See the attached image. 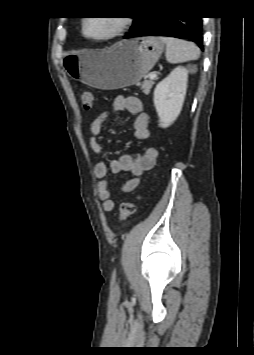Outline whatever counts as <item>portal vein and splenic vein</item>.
I'll return each instance as SVG.
<instances>
[{
  "instance_id": "18ae733b",
  "label": "portal vein and splenic vein",
  "mask_w": 254,
  "mask_h": 355,
  "mask_svg": "<svg viewBox=\"0 0 254 355\" xmlns=\"http://www.w3.org/2000/svg\"><path fill=\"white\" fill-rule=\"evenodd\" d=\"M157 77V74L156 73H151L150 75H149V78L150 79H155Z\"/></svg>"
}]
</instances>
